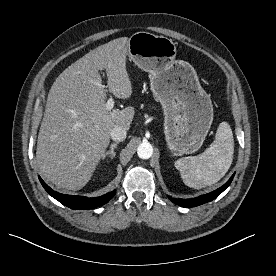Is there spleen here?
<instances>
[{
    "mask_svg": "<svg viewBox=\"0 0 276 276\" xmlns=\"http://www.w3.org/2000/svg\"><path fill=\"white\" fill-rule=\"evenodd\" d=\"M234 139L227 122L219 124L215 140L200 155L184 157L175 162L184 183L200 189L218 182L232 164Z\"/></svg>",
    "mask_w": 276,
    "mask_h": 276,
    "instance_id": "3e777b00",
    "label": "spleen"
}]
</instances>
